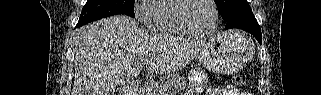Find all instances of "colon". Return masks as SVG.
Masks as SVG:
<instances>
[{
	"label": "colon",
	"mask_w": 321,
	"mask_h": 95,
	"mask_svg": "<svg viewBox=\"0 0 321 95\" xmlns=\"http://www.w3.org/2000/svg\"><path fill=\"white\" fill-rule=\"evenodd\" d=\"M232 80H233L234 84L239 85V86L243 85L245 82L244 77L240 74H235L233 76Z\"/></svg>",
	"instance_id": "colon-1"
}]
</instances>
